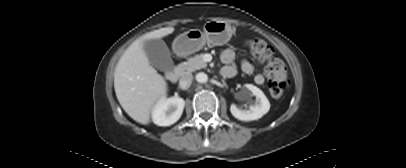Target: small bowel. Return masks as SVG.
I'll use <instances>...</instances> for the list:
<instances>
[{
    "label": "small bowel",
    "mask_w": 406,
    "mask_h": 168,
    "mask_svg": "<svg viewBox=\"0 0 406 168\" xmlns=\"http://www.w3.org/2000/svg\"><path fill=\"white\" fill-rule=\"evenodd\" d=\"M221 60L226 64L223 68L222 73L226 77H232L236 75L237 69L233 64L235 59V51L232 48H226L221 52ZM241 69L245 74L251 75L254 73V66L253 64L247 60L242 59L241 61ZM254 82L257 85H261L264 83V75L261 72H257L254 75Z\"/></svg>",
    "instance_id": "c3829d8e"
}]
</instances>
